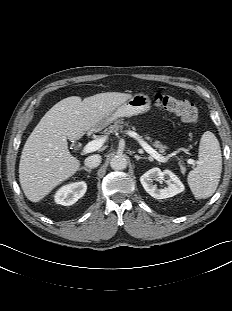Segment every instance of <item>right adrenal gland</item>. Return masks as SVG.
<instances>
[{
    "label": "right adrenal gland",
    "mask_w": 232,
    "mask_h": 311,
    "mask_svg": "<svg viewBox=\"0 0 232 311\" xmlns=\"http://www.w3.org/2000/svg\"><path fill=\"white\" fill-rule=\"evenodd\" d=\"M79 170H85L88 173H91V171H92L91 169H88L86 167H81V168H79Z\"/></svg>",
    "instance_id": "1"
}]
</instances>
